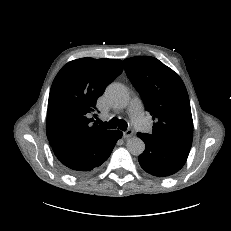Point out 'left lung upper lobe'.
Instances as JSON below:
<instances>
[{
  "mask_svg": "<svg viewBox=\"0 0 231 231\" xmlns=\"http://www.w3.org/2000/svg\"><path fill=\"white\" fill-rule=\"evenodd\" d=\"M128 78L153 116L150 138L191 148L193 120L186 87L177 73L154 57L125 59Z\"/></svg>",
  "mask_w": 231,
  "mask_h": 231,
  "instance_id": "obj_1",
  "label": "left lung upper lobe"
}]
</instances>
